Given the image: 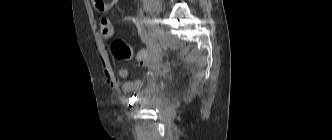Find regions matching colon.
Listing matches in <instances>:
<instances>
[{"label":"colon","mask_w":332,"mask_h":140,"mask_svg":"<svg viewBox=\"0 0 332 140\" xmlns=\"http://www.w3.org/2000/svg\"><path fill=\"white\" fill-rule=\"evenodd\" d=\"M114 1L115 0H93V4L97 11H104ZM99 28L104 37H112L114 34V26L107 17L100 19ZM111 53L118 60H130L134 56L133 49L122 40H115L111 44Z\"/></svg>","instance_id":"5ec220e1"}]
</instances>
